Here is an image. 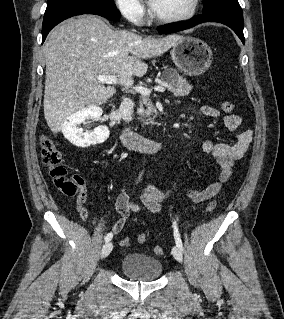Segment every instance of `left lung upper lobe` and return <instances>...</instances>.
<instances>
[{
    "label": "left lung upper lobe",
    "mask_w": 284,
    "mask_h": 319,
    "mask_svg": "<svg viewBox=\"0 0 284 319\" xmlns=\"http://www.w3.org/2000/svg\"><path fill=\"white\" fill-rule=\"evenodd\" d=\"M203 12H212L218 9L234 8L241 10L237 0H203Z\"/></svg>",
    "instance_id": "5c2ea615"
}]
</instances>
